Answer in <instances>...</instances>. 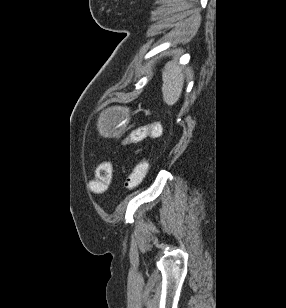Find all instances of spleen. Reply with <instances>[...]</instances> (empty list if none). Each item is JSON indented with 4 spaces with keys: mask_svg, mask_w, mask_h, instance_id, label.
<instances>
[{
    "mask_svg": "<svg viewBox=\"0 0 286 308\" xmlns=\"http://www.w3.org/2000/svg\"><path fill=\"white\" fill-rule=\"evenodd\" d=\"M162 80L163 99L166 104L172 106L179 100L184 84L182 68L175 64V60L166 65Z\"/></svg>",
    "mask_w": 286,
    "mask_h": 308,
    "instance_id": "1",
    "label": "spleen"
}]
</instances>
